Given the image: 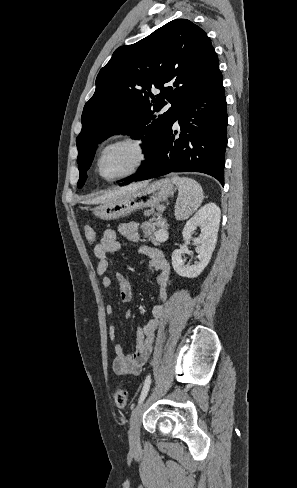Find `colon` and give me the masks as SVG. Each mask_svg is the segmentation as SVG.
Wrapping results in <instances>:
<instances>
[{"label": "colon", "mask_w": 297, "mask_h": 488, "mask_svg": "<svg viewBox=\"0 0 297 488\" xmlns=\"http://www.w3.org/2000/svg\"><path fill=\"white\" fill-rule=\"evenodd\" d=\"M84 234L89 244H95L96 233L91 226H85ZM114 400L118 408H124L128 401V391L124 388H117L114 393Z\"/></svg>", "instance_id": "1"}]
</instances>
